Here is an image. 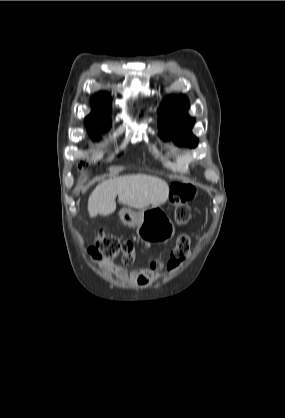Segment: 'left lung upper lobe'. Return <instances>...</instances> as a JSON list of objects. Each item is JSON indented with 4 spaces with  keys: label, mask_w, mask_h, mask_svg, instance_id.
Returning <instances> with one entry per match:
<instances>
[{
    "label": "left lung upper lobe",
    "mask_w": 285,
    "mask_h": 418,
    "mask_svg": "<svg viewBox=\"0 0 285 418\" xmlns=\"http://www.w3.org/2000/svg\"><path fill=\"white\" fill-rule=\"evenodd\" d=\"M188 99L183 95L168 97L158 110L159 136L173 139L179 146L196 147L198 139L192 134L195 119L187 112Z\"/></svg>",
    "instance_id": "5c2ea615"
}]
</instances>
